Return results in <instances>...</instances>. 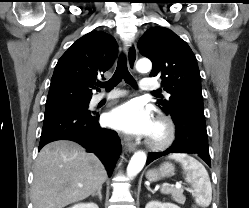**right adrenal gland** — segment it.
<instances>
[{"mask_svg":"<svg viewBox=\"0 0 249 208\" xmlns=\"http://www.w3.org/2000/svg\"><path fill=\"white\" fill-rule=\"evenodd\" d=\"M101 190H102V187H100L96 193H93V194H92V197L98 196V197H99V200L102 201V193H101Z\"/></svg>","mask_w":249,"mask_h":208,"instance_id":"1","label":"right adrenal gland"}]
</instances>
